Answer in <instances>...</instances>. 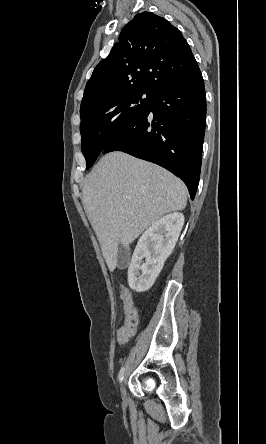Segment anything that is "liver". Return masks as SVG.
Instances as JSON below:
<instances>
[{"label": "liver", "instance_id": "obj_1", "mask_svg": "<svg viewBox=\"0 0 266 444\" xmlns=\"http://www.w3.org/2000/svg\"><path fill=\"white\" fill-rule=\"evenodd\" d=\"M83 205L107 266L118 264V247H127L145 229L172 211L183 210V182L160 166L123 152L103 156L83 188Z\"/></svg>", "mask_w": 266, "mask_h": 444}]
</instances>
